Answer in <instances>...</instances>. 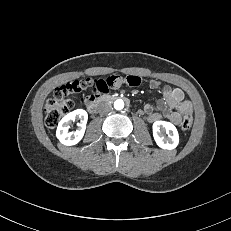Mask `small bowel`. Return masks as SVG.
Segmentation results:
<instances>
[{
  "label": "small bowel",
  "instance_id": "small-bowel-1",
  "mask_svg": "<svg viewBox=\"0 0 231 231\" xmlns=\"http://www.w3.org/2000/svg\"><path fill=\"white\" fill-rule=\"evenodd\" d=\"M127 84L131 87H137L142 83V80L138 76H128L126 78L119 75H112L111 77H105L97 82L92 89L87 91V94L83 96L85 103H90L93 98L98 97L101 93H108L113 88H118L123 84ZM161 86V83L156 80L150 81V87L157 89ZM163 98L158 100L154 104H147L144 107V114L150 122H155L163 117L171 121L173 124L178 125L181 122L182 116L192 114L193 107L190 101L185 99V94L180 88H171L170 86H164L162 88Z\"/></svg>",
  "mask_w": 231,
  "mask_h": 231
}]
</instances>
